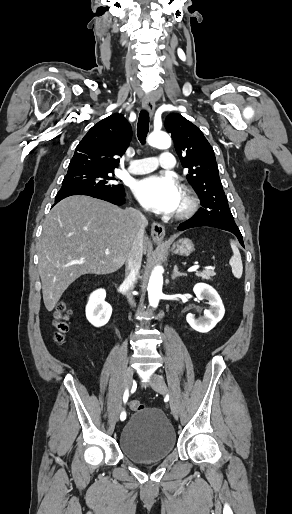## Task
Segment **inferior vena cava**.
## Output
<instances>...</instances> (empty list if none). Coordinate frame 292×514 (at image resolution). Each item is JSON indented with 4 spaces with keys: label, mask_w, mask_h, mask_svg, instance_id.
Here are the masks:
<instances>
[{
    "label": "inferior vena cava",
    "mask_w": 292,
    "mask_h": 514,
    "mask_svg": "<svg viewBox=\"0 0 292 514\" xmlns=\"http://www.w3.org/2000/svg\"><path fill=\"white\" fill-rule=\"evenodd\" d=\"M128 210L132 218V224L134 226L136 236L134 238L131 252L126 260L125 282L129 286V292H127L126 296L130 306H135L130 290H133L134 284L139 274V270L141 268L143 256V238L145 228L148 226V220H146L145 216H143L141 212H138V210H133V208H128Z\"/></svg>",
    "instance_id": "obj_1"
}]
</instances>
